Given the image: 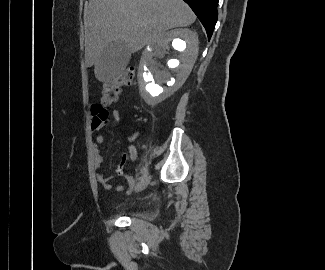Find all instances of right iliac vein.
Masks as SVG:
<instances>
[{"mask_svg":"<svg viewBox=\"0 0 325 270\" xmlns=\"http://www.w3.org/2000/svg\"><path fill=\"white\" fill-rule=\"evenodd\" d=\"M150 176H146L143 180H141L135 187V192H140L142 190H144L149 182H150Z\"/></svg>","mask_w":325,"mask_h":270,"instance_id":"right-iliac-vein-1","label":"right iliac vein"}]
</instances>
